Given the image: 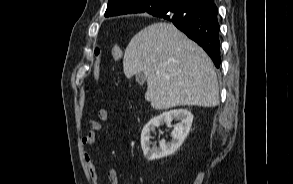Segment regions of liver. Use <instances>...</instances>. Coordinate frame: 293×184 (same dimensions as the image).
Wrapping results in <instances>:
<instances>
[{
    "label": "liver",
    "mask_w": 293,
    "mask_h": 184,
    "mask_svg": "<svg viewBox=\"0 0 293 184\" xmlns=\"http://www.w3.org/2000/svg\"><path fill=\"white\" fill-rule=\"evenodd\" d=\"M123 70L127 78L144 74L145 99L154 109L214 107L219 102L211 59L172 24L154 23L139 31L125 50Z\"/></svg>",
    "instance_id": "1"
}]
</instances>
